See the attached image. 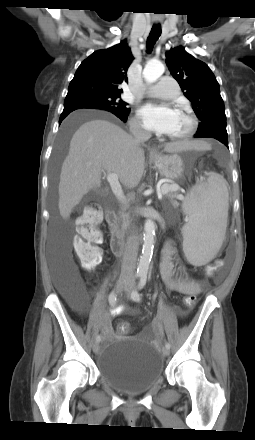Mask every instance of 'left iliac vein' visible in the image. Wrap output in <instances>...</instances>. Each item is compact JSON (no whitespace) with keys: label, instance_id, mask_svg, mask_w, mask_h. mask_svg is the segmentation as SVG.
<instances>
[{"label":"left iliac vein","instance_id":"4c4485c4","mask_svg":"<svg viewBox=\"0 0 255 440\" xmlns=\"http://www.w3.org/2000/svg\"><path fill=\"white\" fill-rule=\"evenodd\" d=\"M131 289H132V284H130L127 288H126V295H127V297H129L130 296V293H131ZM163 355L164 356H168L169 354H170V349L169 348H167L166 346L163 348Z\"/></svg>","mask_w":255,"mask_h":440}]
</instances>
